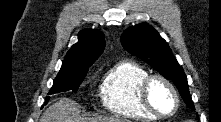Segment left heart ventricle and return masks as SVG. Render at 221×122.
<instances>
[{
	"mask_svg": "<svg viewBox=\"0 0 221 122\" xmlns=\"http://www.w3.org/2000/svg\"><path fill=\"white\" fill-rule=\"evenodd\" d=\"M151 102L162 113H170L175 106L172 92L162 82L155 81L150 88Z\"/></svg>",
	"mask_w": 221,
	"mask_h": 122,
	"instance_id": "left-heart-ventricle-1",
	"label": "left heart ventricle"
}]
</instances>
